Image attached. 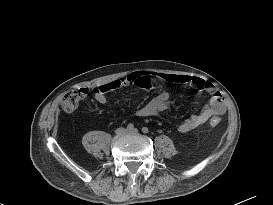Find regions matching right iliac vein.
Returning <instances> with one entry per match:
<instances>
[{"label": "right iliac vein", "instance_id": "63e3f726", "mask_svg": "<svg viewBox=\"0 0 273 205\" xmlns=\"http://www.w3.org/2000/svg\"><path fill=\"white\" fill-rule=\"evenodd\" d=\"M125 133H127V130L123 127H120L116 130V134L118 135H124Z\"/></svg>", "mask_w": 273, "mask_h": 205}]
</instances>
